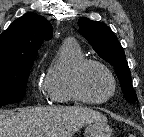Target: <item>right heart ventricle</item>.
Listing matches in <instances>:
<instances>
[{
    "mask_svg": "<svg viewBox=\"0 0 144 137\" xmlns=\"http://www.w3.org/2000/svg\"><path fill=\"white\" fill-rule=\"evenodd\" d=\"M86 56L80 45L72 39L65 40L45 73V89L53 103L70 104L74 98L71 81L75 68Z\"/></svg>",
    "mask_w": 144,
    "mask_h": 137,
    "instance_id": "obj_1",
    "label": "right heart ventricle"
}]
</instances>
